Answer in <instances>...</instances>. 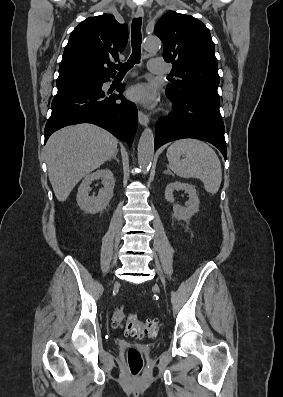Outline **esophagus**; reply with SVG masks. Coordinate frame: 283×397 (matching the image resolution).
<instances>
[{
	"label": "esophagus",
	"mask_w": 283,
	"mask_h": 397,
	"mask_svg": "<svg viewBox=\"0 0 283 397\" xmlns=\"http://www.w3.org/2000/svg\"><path fill=\"white\" fill-rule=\"evenodd\" d=\"M135 16L137 18L143 17L144 16L143 9L138 8L136 10ZM138 120H139L140 125H142V126H146L149 123V117L145 113H143L141 110L138 111Z\"/></svg>",
	"instance_id": "esophagus-1"
}]
</instances>
